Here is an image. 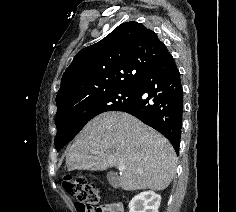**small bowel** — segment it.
Instances as JSON below:
<instances>
[{"label": "small bowel", "instance_id": "small-bowel-1", "mask_svg": "<svg viewBox=\"0 0 236 212\" xmlns=\"http://www.w3.org/2000/svg\"><path fill=\"white\" fill-rule=\"evenodd\" d=\"M104 212H123V205L119 202L110 203L106 206H103ZM78 212H80L78 210Z\"/></svg>", "mask_w": 236, "mask_h": 212}]
</instances>
